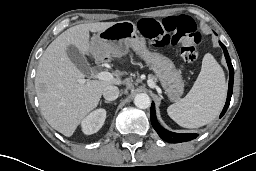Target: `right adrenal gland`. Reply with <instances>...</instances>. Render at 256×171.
I'll list each match as a JSON object with an SVG mask.
<instances>
[{
  "label": "right adrenal gland",
  "instance_id": "obj_1",
  "mask_svg": "<svg viewBox=\"0 0 256 171\" xmlns=\"http://www.w3.org/2000/svg\"><path fill=\"white\" fill-rule=\"evenodd\" d=\"M104 103L110 104V103H112V102L105 100Z\"/></svg>",
  "mask_w": 256,
  "mask_h": 171
}]
</instances>
